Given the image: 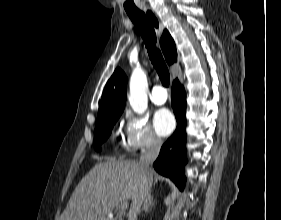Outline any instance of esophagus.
Wrapping results in <instances>:
<instances>
[{"label":"esophagus","instance_id":"34e87169","mask_svg":"<svg viewBox=\"0 0 281 220\" xmlns=\"http://www.w3.org/2000/svg\"><path fill=\"white\" fill-rule=\"evenodd\" d=\"M142 9H143L148 21L153 26V28L155 29L158 36H160L163 31V25L160 22L158 16L150 7L145 6Z\"/></svg>","mask_w":281,"mask_h":220}]
</instances>
